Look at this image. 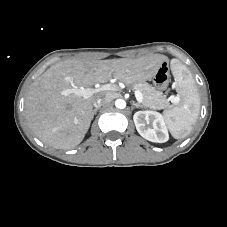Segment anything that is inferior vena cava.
I'll return each instance as SVG.
<instances>
[{
  "label": "inferior vena cava",
  "instance_id": "inferior-vena-cava-1",
  "mask_svg": "<svg viewBox=\"0 0 227 227\" xmlns=\"http://www.w3.org/2000/svg\"><path fill=\"white\" fill-rule=\"evenodd\" d=\"M112 99H113V95L110 94V93H107V94H105V95L102 96V97H98V98L94 101L93 105H94V107L99 108L100 106H102V105H104V104L110 102Z\"/></svg>",
  "mask_w": 227,
  "mask_h": 227
}]
</instances>
